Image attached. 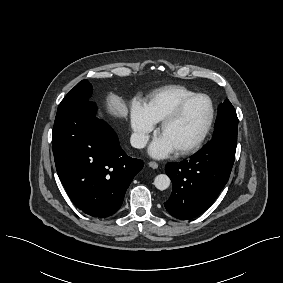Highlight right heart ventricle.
<instances>
[{
	"label": "right heart ventricle",
	"instance_id": "right-heart-ventricle-1",
	"mask_svg": "<svg viewBox=\"0 0 283 283\" xmlns=\"http://www.w3.org/2000/svg\"><path fill=\"white\" fill-rule=\"evenodd\" d=\"M195 94L181 85H168L151 93L143 106L146 117L153 123L161 122L185 98Z\"/></svg>",
	"mask_w": 283,
	"mask_h": 283
}]
</instances>
